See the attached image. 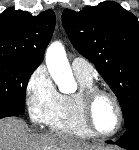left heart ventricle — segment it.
<instances>
[{
	"label": "left heart ventricle",
	"instance_id": "1",
	"mask_svg": "<svg viewBox=\"0 0 139 150\" xmlns=\"http://www.w3.org/2000/svg\"><path fill=\"white\" fill-rule=\"evenodd\" d=\"M95 127L102 133L113 131L117 125V112L112 100L107 96H99L92 108Z\"/></svg>",
	"mask_w": 139,
	"mask_h": 150
}]
</instances>
